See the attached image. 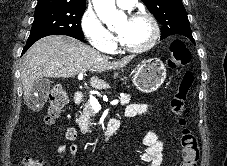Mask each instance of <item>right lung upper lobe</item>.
<instances>
[{"label": "right lung upper lobe", "instance_id": "obj_1", "mask_svg": "<svg viewBox=\"0 0 227 166\" xmlns=\"http://www.w3.org/2000/svg\"><path fill=\"white\" fill-rule=\"evenodd\" d=\"M44 5H68L75 7H85V0H38L37 6Z\"/></svg>", "mask_w": 227, "mask_h": 166}]
</instances>
